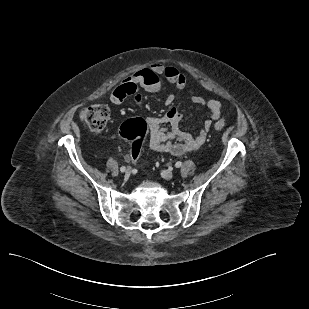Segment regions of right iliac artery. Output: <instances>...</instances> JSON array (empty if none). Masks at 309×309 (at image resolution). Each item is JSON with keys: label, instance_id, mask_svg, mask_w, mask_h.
Wrapping results in <instances>:
<instances>
[{"label": "right iliac artery", "instance_id": "82829eb1", "mask_svg": "<svg viewBox=\"0 0 309 309\" xmlns=\"http://www.w3.org/2000/svg\"><path fill=\"white\" fill-rule=\"evenodd\" d=\"M126 170V168L124 167V166H122L121 168H120V171L121 172H124Z\"/></svg>", "mask_w": 309, "mask_h": 309}]
</instances>
